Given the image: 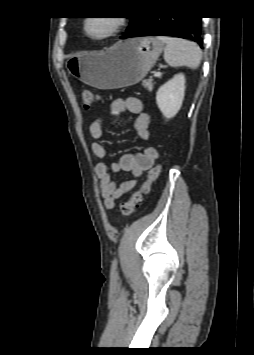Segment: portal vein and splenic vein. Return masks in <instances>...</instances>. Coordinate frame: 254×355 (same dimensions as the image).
<instances>
[{
	"mask_svg": "<svg viewBox=\"0 0 254 355\" xmlns=\"http://www.w3.org/2000/svg\"><path fill=\"white\" fill-rule=\"evenodd\" d=\"M161 75H162V73L159 71L154 73V77H160Z\"/></svg>",
	"mask_w": 254,
	"mask_h": 355,
	"instance_id": "portal-vein-and-splenic-vein-1",
	"label": "portal vein and splenic vein"
}]
</instances>
